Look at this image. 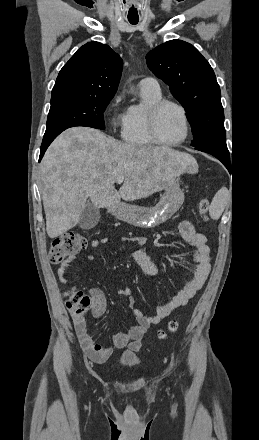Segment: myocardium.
Segmentation results:
<instances>
[{
  "label": "myocardium",
  "mask_w": 259,
  "mask_h": 440,
  "mask_svg": "<svg viewBox=\"0 0 259 440\" xmlns=\"http://www.w3.org/2000/svg\"><path fill=\"white\" fill-rule=\"evenodd\" d=\"M168 105L175 106L180 111L182 118H183L184 127H185V132H184L183 137L175 142H165L159 137V134H158L159 115H160L161 111ZM147 125H148V132H149V135H150L152 141L155 144L163 146V147L179 146V145L183 144L188 139V137L190 135V122H189V118H188L187 111H186L185 107L181 103H179L175 100H171V99H161L150 106V108L148 109V113H147Z\"/></svg>",
  "instance_id": "obj_1"
}]
</instances>
